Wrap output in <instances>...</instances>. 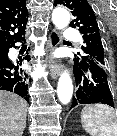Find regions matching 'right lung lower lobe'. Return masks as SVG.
Listing matches in <instances>:
<instances>
[{
  "instance_id": "obj_1",
  "label": "right lung lower lobe",
  "mask_w": 117,
  "mask_h": 136,
  "mask_svg": "<svg viewBox=\"0 0 117 136\" xmlns=\"http://www.w3.org/2000/svg\"><path fill=\"white\" fill-rule=\"evenodd\" d=\"M24 37L18 41L21 42ZM12 47H16L13 45ZM29 61L28 57H25ZM22 59L17 61H11L8 58V51L4 55L0 56V90H7L14 92L26 101H29L28 95V76L20 68Z\"/></svg>"
}]
</instances>
